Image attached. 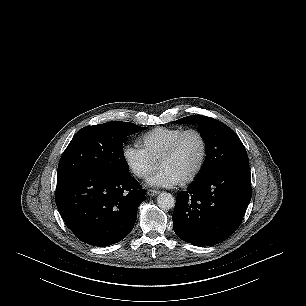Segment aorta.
<instances>
[{"label": "aorta", "instance_id": "762f6f07", "mask_svg": "<svg viewBox=\"0 0 306 306\" xmlns=\"http://www.w3.org/2000/svg\"><path fill=\"white\" fill-rule=\"evenodd\" d=\"M157 205L163 210H170L175 206V199L170 193L162 192L157 197Z\"/></svg>", "mask_w": 306, "mask_h": 306}]
</instances>
